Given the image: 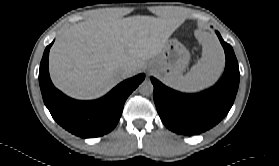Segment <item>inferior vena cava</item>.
I'll use <instances>...</instances> for the list:
<instances>
[{
	"instance_id": "602c4592",
	"label": "inferior vena cava",
	"mask_w": 279,
	"mask_h": 166,
	"mask_svg": "<svg viewBox=\"0 0 279 166\" xmlns=\"http://www.w3.org/2000/svg\"><path fill=\"white\" fill-rule=\"evenodd\" d=\"M131 67L130 66H125L121 69V74L123 78H127L129 74L131 73Z\"/></svg>"
}]
</instances>
